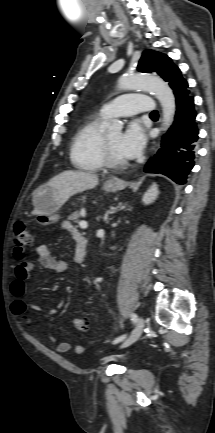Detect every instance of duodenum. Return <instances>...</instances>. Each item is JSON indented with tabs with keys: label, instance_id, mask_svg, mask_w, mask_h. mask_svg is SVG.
<instances>
[{
	"label": "duodenum",
	"instance_id": "410a0bca",
	"mask_svg": "<svg viewBox=\"0 0 215 433\" xmlns=\"http://www.w3.org/2000/svg\"><path fill=\"white\" fill-rule=\"evenodd\" d=\"M87 255V244L86 241H84L80 247V258H79V262L83 263L85 261Z\"/></svg>",
	"mask_w": 215,
	"mask_h": 433
}]
</instances>
